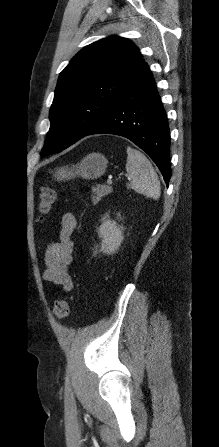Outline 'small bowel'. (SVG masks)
Returning a JSON list of instances; mask_svg holds the SVG:
<instances>
[{
    "instance_id": "small-bowel-1",
    "label": "small bowel",
    "mask_w": 219,
    "mask_h": 447,
    "mask_svg": "<svg viewBox=\"0 0 219 447\" xmlns=\"http://www.w3.org/2000/svg\"><path fill=\"white\" fill-rule=\"evenodd\" d=\"M76 224V218L72 213H64L59 222L58 240L48 246L45 254L44 280L61 286L65 291L73 288L68 268L73 260L72 234Z\"/></svg>"
}]
</instances>
